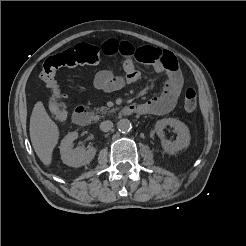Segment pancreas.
<instances>
[{"instance_id":"pancreas-1","label":"pancreas","mask_w":246,"mask_h":246,"mask_svg":"<svg viewBox=\"0 0 246 246\" xmlns=\"http://www.w3.org/2000/svg\"><path fill=\"white\" fill-rule=\"evenodd\" d=\"M115 111H116V109H114V108L109 110V108L104 107V106L96 109V112H101L103 114L107 113V112L112 113V112H115Z\"/></svg>"}]
</instances>
